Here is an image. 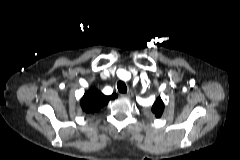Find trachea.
Instances as JSON below:
<instances>
[{"label":"trachea","mask_w":240,"mask_h":160,"mask_svg":"<svg viewBox=\"0 0 240 160\" xmlns=\"http://www.w3.org/2000/svg\"><path fill=\"white\" fill-rule=\"evenodd\" d=\"M117 89L120 93H126L127 92V86L123 81H119L117 83Z\"/></svg>","instance_id":"1"}]
</instances>
